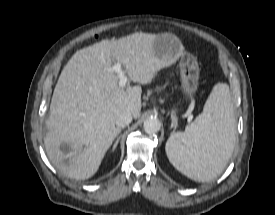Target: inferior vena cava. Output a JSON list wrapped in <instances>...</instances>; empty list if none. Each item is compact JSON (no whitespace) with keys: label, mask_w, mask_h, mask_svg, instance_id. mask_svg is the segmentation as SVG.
Wrapping results in <instances>:
<instances>
[{"label":"inferior vena cava","mask_w":275,"mask_h":215,"mask_svg":"<svg viewBox=\"0 0 275 215\" xmlns=\"http://www.w3.org/2000/svg\"><path fill=\"white\" fill-rule=\"evenodd\" d=\"M132 121V115L129 111L122 112L115 120V124L117 127H125L129 125Z\"/></svg>","instance_id":"obj_1"}]
</instances>
